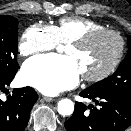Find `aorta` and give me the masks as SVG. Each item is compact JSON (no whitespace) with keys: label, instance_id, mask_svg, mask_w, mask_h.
I'll return each instance as SVG.
<instances>
[{"label":"aorta","instance_id":"762f6f07","mask_svg":"<svg viewBox=\"0 0 131 131\" xmlns=\"http://www.w3.org/2000/svg\"><path fill=\"white\" fill-rule=\"evenodd\" d=\"M57 111L62 116H69L74 111V103L70 99H61L57 104Z\"/></svg>","mask_w":131,"mask_h":131}]
</instances>
